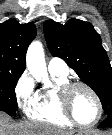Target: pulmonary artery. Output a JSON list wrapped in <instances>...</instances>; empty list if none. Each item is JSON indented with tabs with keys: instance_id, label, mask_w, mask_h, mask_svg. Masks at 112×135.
I'll return each mask as SVG.
<instances>
[{
	"instance_id": "e3ab8cb5",
	"label": "pulmonary artery",
	"mask_w": 112,
	"mask_h": 135,
	"mask_svg": "<svg viewBox=\"0 0 112 135\" xmlns=\"http://www.w3.org/2000/svg\"><path fill=\"white\" fill-rule=\"evenodd\" d=\"M48 70L50 73L58 74V75H68L69 68L67 64L58 58H51L48 62Z\"/></svg>"
}]
</instances>
